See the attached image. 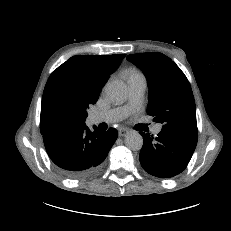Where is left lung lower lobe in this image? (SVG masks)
<instances>
[{
    "instance_id": "1",
    "label": "left lung lower lobe",
    "mask_w": 231,
    "mask_h": 231,
    "mask_svg": "<svg viewBox=\"0 0 231 231\" xmlns=\"http://www.w3.org/2000/svg\"><path fill=\"white\" fill-rule=\"evenodd\" d=\"M143 146L140 163L143 169L159 178H170L188 165L196 148L198 134L162 129L157 137L140 132Z\"/></svg>"
}]
</instances>
